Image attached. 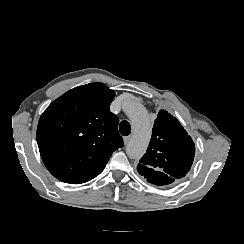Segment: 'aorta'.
<instances>
[{
    "label": "aorta",
    "instance_id": "762f6f07",
    "mask_svg": "<svg viewBox=\"0 0 244 244\" xmlns=\"http://www.w3.org/2000/svg\"><path fill=\"white\" fill-rule=\"evenodd\" d=\"M125 111L133 126V135L126 146V153L129 158L138 159L145 153L151 137L149 116L146 109L136 102L127 104Z\"/></svg>",
    "mask_w": 244,
    "mask_h": 244
}]
</instances>
